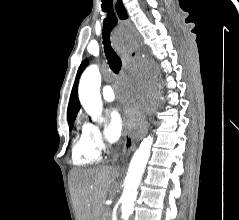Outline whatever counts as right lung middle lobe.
<instances>
[{"instance_id": "right-lung-middle-lobe-1", "label": "right lung middle lobe", "mask_w": 239, "mask_h": 220, "mask_svg": "<svg viewBox=\"0 0 239 220\" xmlns=\"http://www.w3.org/2000/svg\"><path fill=\"white\" fill-rule=\"evenodd\" d=\"M74 121H75V119L68 121L70 130H72V128H73Z\"/></svg>"}]
</instances>
